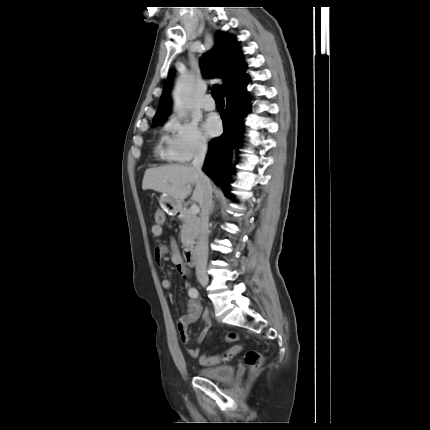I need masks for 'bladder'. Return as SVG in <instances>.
<instances>
[{
    "label": "bladder",
    "instance_id": "31cf9c89",
    "mask_svg": "<svg viewBox=\"0 0 430 430\" xmlns=\"http://www.w3.org/2000/svg\"><path fill=\"white\" fill-rule=\"evenodd\" d=\"M201 377L213 381H227L234 375V368L231 365H217L201 368L198 370Z\"/></svg>",
    "mask_w": 430,
    "mask_h": 430
}]
</instances>
